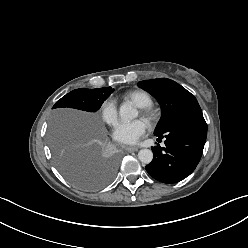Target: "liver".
I'll list each match as a JSON object with an SVG mask.
<instances>
[{
    "label": "liver",
    "instance_id": "liver-1",
    "mask_svg": "<svg viewBox=\"0 0 248 248\" xmlns=\"http://www.w3.org/2000/svg\"><path fill=\"white\" fill-rule=\"evenodd\" d=\"M58 127H59L60 129H63V130H68V129H71V128L73 127V123L69 122V123H68V126H65V125L62 124V125H60V126H58ZM52 130H53V129H51V132H52ZM51 132H50V135H51ZM95 132H96V131H95L93 128H91L90 133L94 135Z\"/></svg>",
    "mask_w": 248,
    "mask_h": 248
}]
</instances>
